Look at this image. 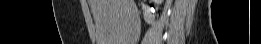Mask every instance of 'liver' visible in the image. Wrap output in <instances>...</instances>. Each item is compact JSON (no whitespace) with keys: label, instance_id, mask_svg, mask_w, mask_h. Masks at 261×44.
I'll return each mask as SVG.
<instances>
[{"label":"liver","instance_id":"obj_1","mask_svg":"<svg viewBox=\"0 0 261 44\" xmlns=\"http://www.w3.org/2000/svg\"><path fill=\"white\" fill-rule=\"evenodd\" d=\"M96 24L97 44H129L131 24L137 16L134 0H89Z\"/></svg>","mask_w":261,"mask_h":44}]
</instances>
